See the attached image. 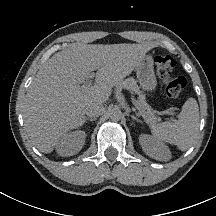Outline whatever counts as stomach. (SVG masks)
I'll list each match as a JSON object with an SVG mask.
<instances>
[{"mask_svg":"<svg viewBox=\"0 0 216 216\" xmlns=\"http://www.w3.org/2000/svg\"><path fill=\"white\" fill-rule=\"evenodd\" d=\"M137 80L145 92H154L157 87V78L154 72L152 56L145 55L143 60L135 68Z\"/></svg>","mask_w":216,"mask_h":216,"instance_id":"1","label":"stomach"}]
</instances>
